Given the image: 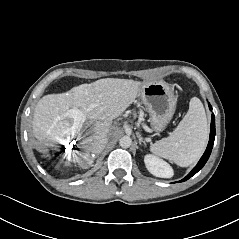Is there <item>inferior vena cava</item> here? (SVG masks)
Here are the masks:
<instances>
[{
  "instance_id": "inferior-vena-cava-1",
  "label": "inferior vena cava",
  "mask_w": 239,
  "mask_h": 239,
  "mask_svg": "<svg viewBox=\"0 0 239 239\" xmlns=\"http://www.w3.org/2000/svg\"><path fill=\"white\" fill-rule=\"evenodd\" d=\"M107 142H108V139L106 136L99 137L94 145L95 151L98 153L101 152L106 146Z\"/></svg>"
}]
</instances>
